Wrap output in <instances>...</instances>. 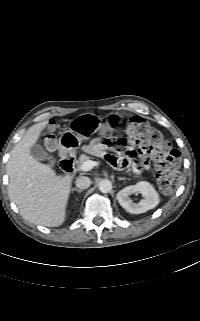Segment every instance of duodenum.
Instances as JSON below:
<instances>
[{"label": "duodenum", "mask_w": 200, "mask_h": 321, "mask_svg": "<svg viewBox=\"0 0 200 321\" xmlns=\"http://www.w3.org/2000/svg\"><path fill=\"white\" fill-rule=\"evenodd\" d=\"M75 159L69 153H63L60 166L65 174L72 175L74 172Z\"/></svg>", "instance_id": "obj_1"}]
</instances>
